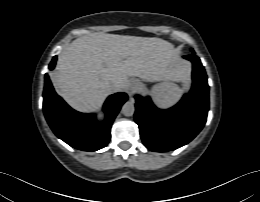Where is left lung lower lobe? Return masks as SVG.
<instances>
[{"mask_svg": "<svg viewBox=\"0 0 260 202\" xmlns=\"http://www.w3.org/2000/svg\"><path fill=\"white\" fill-rule=\"evenodd\" d=\"M184 58L193 63V86L177 105L161 110L150 97H135V121L144 145L151 151L167 152L187 144L206 122L209 110L207 76L196 55Z\"/></svg>", "mask_w": 260, "mask_h": 202, "instance_id": "left-lung-lower-lobe-1", "label": "left lung lower lobe"}]
</instances>
